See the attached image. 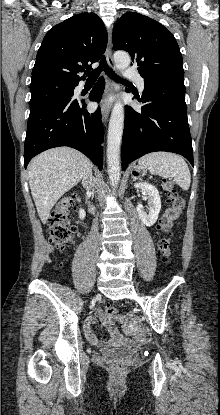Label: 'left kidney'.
I'll return each mask as SVG.
<instances>
[{"mask_svg": "<svg viewBox=\"0 0 220 415\" xmlns=\"http://www.w3.org/2000/svg\"><path fill=\"white\" fill-rule=\"evenodd\" d=\"M134 187L140 189L143 195L148 196L149 213L144 211L143 206H137V212L141 221L148 227L152 226L158 219L161 209V200L157 188L149 183H135Z\"/></svg>", "mask_w": 220, "mask_h": 415, "instance_id": "5707ae66", "label": "left kidney"}]
</instances>
